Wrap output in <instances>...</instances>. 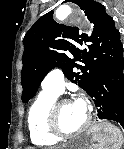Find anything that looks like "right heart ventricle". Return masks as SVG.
Returning <instances> with one entry per match:
<instances>
[{
	"mask_svg": "<svg viewBox=\"0 0 124 149\" xmlns=\"http://www.w3.org/2000/svg\"><path fill=\"white\" fill-rule=\"evenodd\" d=\"M58 94L42 91L32 103L28 112V131L33 144L41 147L56 145L60 139L48 129V111Z\"/></svg>",
	"mask_w": 124,
	"mask_h": 149,
	"instance_id": "e07e8e85",
	"label": "right heart ventricle"
}]
</instances>
